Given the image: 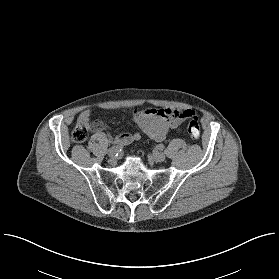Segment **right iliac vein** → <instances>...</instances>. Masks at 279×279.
<instances>
[{"label":"right iliac vein","mask_w":279,"mask_h":279,"mask_svg":"<svg viewBox=\"0 0 279 279\" xmlns=\"http://www.w3.org/2000/svg\"><path fill=\"white\" fill-rule=\"evenodd\" d=\"M116 153H117V150H116L114 147L110 148V149L107 151V154H108L110 157H114Z\"/></svg>","instance_id":"right-iliac-vein-1"}]
</instances>
